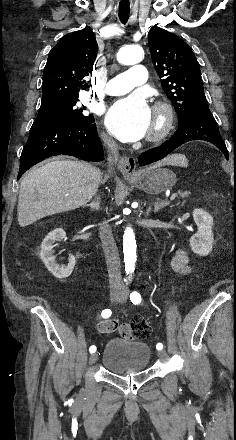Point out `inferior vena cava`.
Masks as SVG:
<instances>
[{
  "label": "inferior vena cava",
  "mask_w": 236,
  "mask_h": 440,
  "mask_svg": "<svg viewBox=\"0 0 236 440\" xmlns=\"http://www.w3.org/2000/svg\"><path fill=\"white\" fill-rule=\"evenodd\" d=\"M103 141L108 146V162L110 164L116 163L118 160V145L113 139L106 135L103 136ZM107 178L108 176H105L102 183H104ZM100 238L106 259L110 287L122 288L124 283L120 271L119 253L113 238L112 229L107 223H104L100 227Z\"/></svg>",
  "instance_id": "1"
}]
</instances>
